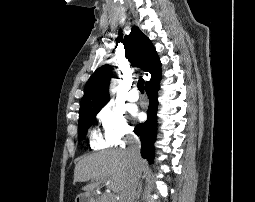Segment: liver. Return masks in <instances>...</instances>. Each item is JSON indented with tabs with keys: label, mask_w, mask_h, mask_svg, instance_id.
<instances>
[{
	"label": "liver",
	"mask_w": 255,
	"mask_h": 202,
	"mask_svg": "<svg viewBox=\"0 0 255 202\" xmlns=\"http://www.w3.org/2000/svg\"><path fill=\"white\" fill-rule=\"evenodd\" d=\"M145 161L140 159L141 170ZM132 163L126 150L112 149L83 157L75 166L74 182L92 183L82 189L91 192L108 180V187L115 193L121 192L128 183Z\"/></svg>",
	"instance_id": "1"
}]
</instances>
